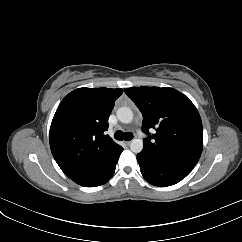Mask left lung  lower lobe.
I'll list each match as a JSON object with an SVG mask.
<instances>
[{
	"label": "left lung lower lobe",
	"instance_id": "obj_1",
	"mask_svg": "<svg viewBox=\"0 0 242 242\" xmlns=\"http://www.w3.org/2000/svg\"><path fill=\"white\" fill-rule=\"evenodd\" d=\"M140 171L150 184L170 186L184 179L195 165L163 157L146 148L137 154Z\"/></svg>",
	"mask_w": 242,
	"mask_h": 242
}]
</instances>
